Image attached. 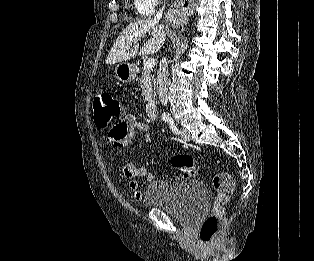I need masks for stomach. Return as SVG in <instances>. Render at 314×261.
Returning <instances> with one entry per match:
<instances>
[{
    "label": "stomach",
    "mask_w": 314,
    "mask_h": 261,
    "mask_svg": "<svg viewBox=\"0 0 314 261\" xmlns=\"http://www.w3.org/2000/svg\"><path fill=\"white\" fill-rule=\"evenodd\" d=\"M116 78L122 83L132 82L136 77V65L123 62L115 68Z\"/></svg>",
    "instance_id": "obj_1"
}]
</instances>
